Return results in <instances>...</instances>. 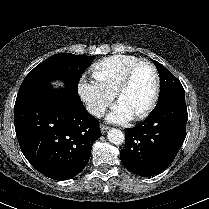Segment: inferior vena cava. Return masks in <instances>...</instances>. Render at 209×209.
Wrapping results in <instances>:
<instances>
[{
	"instance_id": "obj_1",
	"label": "inferior vena cava",
	"mask_w": 209,
	"mask_h": 209,
	"mask_svg": "<svg viewBox=\"0 0 209 209\" xmlns=\"http://www.w3.org/2000/svg\"><path fill=\"white\" fill-rule=\"evenodd\" d=\"M86 110L93 116L102 117L105 114V106L97 103H87Z\"/></svg>"
}]
</instances>
